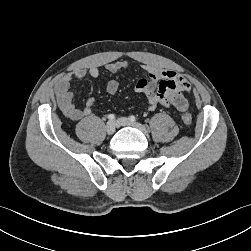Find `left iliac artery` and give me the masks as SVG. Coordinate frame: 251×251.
Returning <instances> with one entry per match:
<instances>
[{"mask_svg": "<svg viewBox=\"0 0 251 251\" xmlns=\"http://www.w3.org/2000/svg\"><path fill=\"white\" fill-rule=\"evenodd\" d=\"M129 120L132 121V122H134V121H136V118H135V116L131 115V116L129 117Z\"/></svg>", "mask_w": 251, "mask_h": 251, "instance_id": "obj_1", "label": "left iliac artery"}]
</instances>
